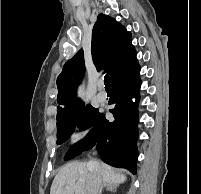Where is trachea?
<instances>
[{"label":"trachea","mask_w":201,"mask_h":194,"mask_svg":"<svg viewBox=\"0 0 201 194\" xmlns=\"http://www.w3.org/2000/svg\"><path fill=\"white\" fill-rule=\"evenodd\" d=\"M104 84H105V88L106 89H110L111 88L110 81H109V75H105L104 76Z\"/></svg>","instance_id":"obj_1"}]
</instances>
